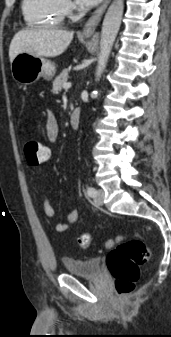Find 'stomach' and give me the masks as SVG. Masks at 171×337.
I'll return each mask as SVG.
<instances>
[{
  "mask_svg": "<svg viewBox=\"0 0 171 337\" xmlns=\"http://www.w3.org/2000/svg\"><path fill=\"white\" fill-rule=\"evenodd\" d=\"M11 72L17 82L28 85L41 77L51 80L56 73V67L53 62L41 56L22 52L12 61Z\"/></svg>",
  "mask_w": 171,
  "mask_h": 337,
  "instance_id": "stomach-1",
  "label": "stomach"
}]
</instances>
